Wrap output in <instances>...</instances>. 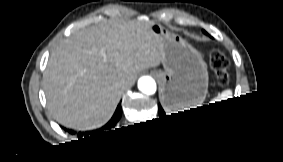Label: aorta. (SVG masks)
<instances>
[{
	"label": "aorta",
	"instance_id": "762f6f07",
	"mask_svg": "<svg viewBox=\"0 0 283 162\" xmlns=\"http://www.w3.org/2000/svg\"><path fill=\"white\" fill-rule=\"evenodd\" d=\"M138 88L146 94H153L156 90V83L150 76H142L138 80Z\"/></svg>",
	"mask_w": 283,
	"mask_h": 162
}]
</instances>
